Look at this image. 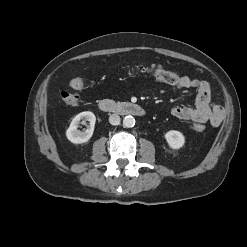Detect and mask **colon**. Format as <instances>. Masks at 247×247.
Instances as JSON below:
<instances>
[{
	"instance_id": "1",
	"label": "colon",
	"mask_w": 247,
	"mask_h": 247,
	"mask_svg": "<svg viewBox=\"0 0 247 247\" xmlns=\"http://www.w3.org/2000/svg\"><path fill=\"white\" fill-rule=\"evenodd\" d=\"M137 71L150 74L157 80L173 86L177 85L181 78L176 73L162 68H139ZM70 86L74 91H63L61 93V99L68 106H77L80 102V97L76 90H81L84 87V81L80 77H75L71 80ZM190 128L195 132H202L205 126L202 123H193Z\"/></svg>"
}]
</instances>
